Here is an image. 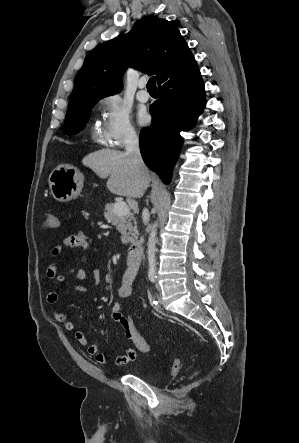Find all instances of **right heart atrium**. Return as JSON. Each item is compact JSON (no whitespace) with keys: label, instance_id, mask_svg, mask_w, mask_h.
Wrapping results in <instances>:
<instances>
[{"label":"right heart atrium","instance_id":"d8ad5b80","mask_svg":"<svg viewBox=\"0 0 299 443\" xmlns=\"http://www.w3.org/2000/svg\"><path fill=\"white\" fill-rule=\"evenodd\" d=\"M101 121L99 136L101 141L110 147H121L136 139L135 129L128 107L117 95H108L99 102Z\"/></svg>","mask_w":299,"mask_h":443}]
</instances>
